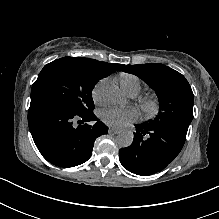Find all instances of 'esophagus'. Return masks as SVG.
I'll return each mask as SVG.
<instances>
[{
  "label": "esophagus",
  "instance_id": "esophagus-1",
  "mask_svg": "<svg viewBox=\"0 0 219 219\" xmlns=\"http://www.w3.org/2000/svg\"><path fill=\"white\" fill-rule=\"evenodd\" d=\"M120 131L118 130V129H116V128H110L109 129V133L110 134H118Z\"/></svg>",
  "mask_w": 219,
  "mask_h": 219
}]
</instances>
